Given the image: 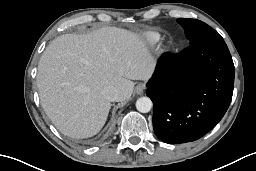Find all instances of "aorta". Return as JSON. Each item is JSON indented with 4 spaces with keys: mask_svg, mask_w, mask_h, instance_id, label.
Wrapping results in <instances>:
<instances>
[{
    "mask_svg": "<svg viewBox=\"0 0 256 171\" xmlns=\"http://www.w3.org/2000/svg\"><path fill=\"white\" fill-rule=\"evenodd\" d=\"M153 106V103L149 97H140L136 101V109L141 113H148Z\"/></svg>",
    "mask_w": 256,
    "mask_h": 171,
    "instance_id": "aorta-1",
    "label": "aorta"
}]
</instances>
